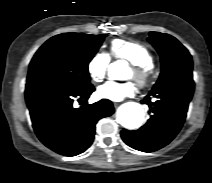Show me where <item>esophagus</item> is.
Wrapping results in <instances>:
<instances>
[{
  "label": "esophagus",
  "mask_w": 212,
  "mask_h": 183,
  "mask_svg": "<svg viewBox=\"0 0 212 183\" xmlns=\"http://www.w3.org/2000/svg\"><path fill=\"white\" fill-rule=\"evenodd\" d=\"M113 104H114L115 107H117V106H119L120 103L119 102H114Z\"/></svg>",
  "instance_id": "esophagus-1"
}]
</instances>
